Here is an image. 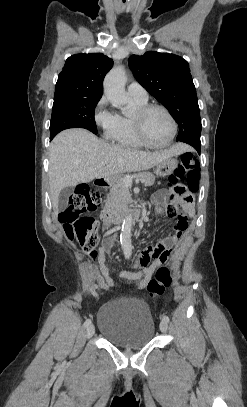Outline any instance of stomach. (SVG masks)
Masks as SVG:
<instances>
[{"instance_id": "obj_1", "label": "stomach", "mask_w": 247, "mask_h": 407, "mask_svg": "<svg viewBox=\"0 0 247 407\" xmlns=\"http://www.w3.org/2000/svg\"><path fill=\"white\" fill-rule=\"evenodd\" d=\"M179 161L176 157H170L161 163H159L154 171V173L158 176H168L174 172V170L178 167ZM118 181L117 178H109L108 183L113 185Z\"/></svg>"}]
</instances>
